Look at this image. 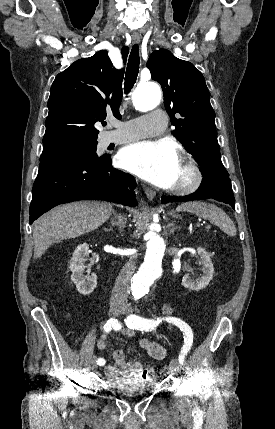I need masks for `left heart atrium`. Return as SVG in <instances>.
<instances>
[{"mask_svg":"<svg viewBox=\"0 0 275 429\" xmlns=\"http://www.w3.org/2000/svg\"><path fill=\"white\" fill-rule=\"evenodd\" d=\"M119 165L147 181L169 188L176 182L179 160L175 148L166 141H140L124 147Z\"/></svg>","mask_w":275,"mask_h":429,"instance_id":"1","label":"left heart atrium"}]
</instances>
